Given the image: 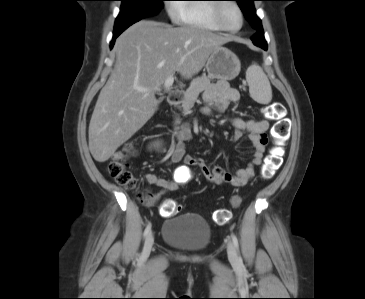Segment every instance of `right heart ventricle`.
<instances>
[{
  "label": "right heart ventricle",
  "mask_w": 365,
  "mask_h": 299,
  "mask_svg": "<svg viewBox=\"0 0 365 299\" xmlns=\"http://www.w3.org/2000/svg\"><path fill=\"white\" fill-rule=\"evenodd\" d=\"M192 4H179L176 21L182 25L194 26L202 29L219 31V27L214 21V9L217 0H185Z\"/></svg>",
  "instance_id": "right-heart-ventricle-1"
}]
</instances>
